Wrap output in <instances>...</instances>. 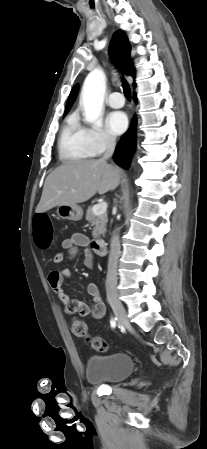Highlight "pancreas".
Wrapping results in <instances>:
<instances>
[{"instance_id": "obj_1", "label": "pancreas", "mask_w": 207, "mask_h": 449, "mask_svg": "<svg viewBox=\"0 0 207 449\" xmlns=\"http://www.w3.org/2000/svg\"><path fill=\"white\" fill-rule=\"evenodd\" d=\"M86 220L93 226L92 236L98 238L100 235H104L106 231V223L108 221L106 212L97 215L93 212V207H89L86 212Z\"/></svg>"}]
</instances>
